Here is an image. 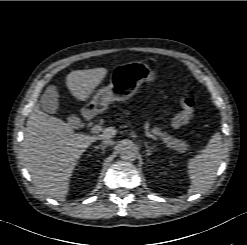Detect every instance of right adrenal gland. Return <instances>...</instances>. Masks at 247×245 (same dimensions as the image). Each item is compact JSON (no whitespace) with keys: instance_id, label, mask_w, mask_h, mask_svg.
Instances as JSON below:
<instances>
[{"instance_id":"1","label":"right adrenal gland","mask_w":247,"mask_h":245,"mask_svg":"<svg viewBox=\"0 0 247 245\" xmlns=\"http://www.w3.org/2000/svg\"><path fill=\"white\" fill-rule=\"evenodd\" d=\"M106 147H107V145H98V146H96V149H101L102 152H104Z\"/></svg>"}]
</instances>
